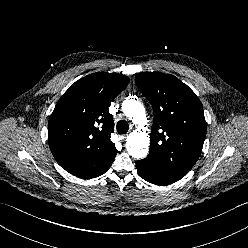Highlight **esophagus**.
Segmentation results:
<instances>
[{
    "mask_svg": "<svg viewBox=\"0 0 248 248\" xmlns=\"http://www.w3.org/2000/svg\"><path fill=\"white\" fill-rule=\"evenodd\" d=\"M127 137V134H123L120 136L121 139H125Z\"/></svg>",
    "mask_w": 248,
    "mask_h": 248,
    "instance_id": "obj_1",
    "label": "esophagus"
}]
</instances>
